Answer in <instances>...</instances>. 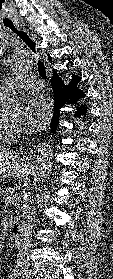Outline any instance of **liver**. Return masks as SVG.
Returning a JSON list of instances; mask_svg holds the SVG:
<instances>
[{
	"label": "liver",
	"instance_id": "liver-1",
	"mask_svg": "<svg viewBox=\"0 0 113 279\" xmlns=\"http://www.w3.org/2000/svg\"><path fill=\"white\" fill-rule=\"evenodd\" d=\"M29 164L25 158L18 159L17 153L1 150L0 176L13 177L17 181H25L29 177Z\"/></svg>",
	"mask_w": 113,
	"mask_h": 279
}]
</instances>
